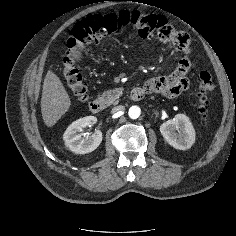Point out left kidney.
<instances>
[{
  "mask_svg": "<svg viewBox=\"0 0 236 236\" xmlns=\"http://www.w3.org/2000/svg\"><path fill=\"white\" fill-rule=\"evenodd\" d=\"M160 132L166 142L175 149H189L195 141L194 128L184 114H177L173 119L164 122L160 126Z\"/></svg>",
  "mask_w": 236,
  "mask_h": 236,
  "instance_id": "obj_1",
  "label": "left kidney"
}]
</instances>
